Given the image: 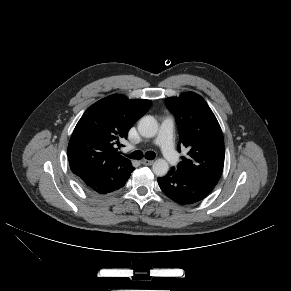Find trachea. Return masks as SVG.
<instances>
[{
    "instance_id": "3493384b",
    "label": "trachea",
    "mask_w": 291,
    "mask_h": 291,
    "mask_svg": "<svg viewBox=\"0 0 291 291\" xmlns=\"http://www.w3.org/2000/svg\"><path fill=\"white\" fill-rule=\"evenodd\" d=\"M156 154L153 151H148L145 153V158L148 160H153L155 158ZM129 158L131 159H142L143 153L140 150H136L133 153L129 155Z\"/></svg>"
}]
</instances>
